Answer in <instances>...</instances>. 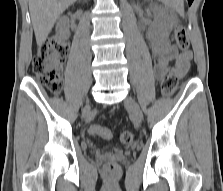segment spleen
I'll return each mask as SVG.
<instances>
[{"label":"spleen","instance_id":"3e777b00","mask_svg":"<svg viewBox=\"0 0 223 191\" xmlns=\"http://www.w3.org/2000/svg\"><path fill=\"white\" fill-rule=\"evenodd\" d=\"M175 1V5L174 8L180 13H183V2L182 0H174Z\"/></svg>","mask_w":223,"mask_h":191}]
</instances>
